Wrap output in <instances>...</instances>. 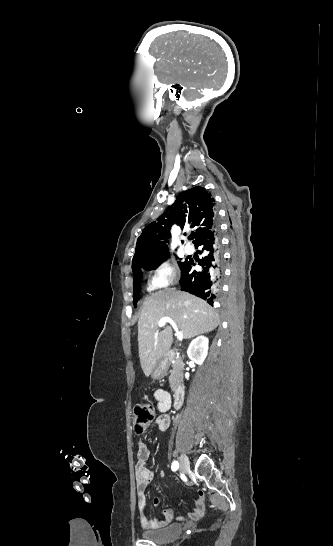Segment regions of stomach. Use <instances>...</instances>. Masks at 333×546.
Here are the masks:
<instances>
[{
	"label": "stomach",
	"mask_w": 333,
	"mask_h": 546,
	"mask_svg": "<svg viewBox=\"0 0 333 546\" xmlns=\"http://www.w3.org/2000/svg\"><path fill=\"white\" fill-rule=\"evenodd\" d=\"M168 366H169L168 358L164 356L154 366L151 372V377L153 379H162L167 374Z\"/></svg>",
	"instance_id": "1"
}]
</instances>
